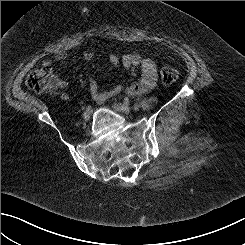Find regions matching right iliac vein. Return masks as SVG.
<instances>
[{"mask_svg": "<svg viewBox=\"0 0 245 245\" xmlns=\"http://www.w3.org/2000/svg\"><path fill=\"white\" fill-rule=\"evenodd\" d=\"M90 116H91V112L86 110V111L83 113V120H84L85 122H88V121L90 120Z\"/></svg>", "mask_w": 245, "mask_h": 245, "instance_id": "right-iliac-vein-1", "label": "right iliac vein"}]
</instances>
